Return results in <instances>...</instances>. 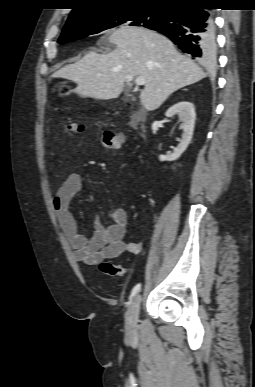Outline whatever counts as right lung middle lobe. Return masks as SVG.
<instances>
[{
    "label": "right lung middle lobe",
    "mask_w": 255,
    "mask_h": 387,
    "mask_svg": "<svg viewBox=\"0 0 255 387\" xmlns=\"http://www.w3.org/2000/svg\"><path fill=\"white\" fill-rule=\"evenodd\" d=\"M166 7L121 6L87 15L66 23L58 43L64 44L117 26L155 28L166 19Z\"/></svg>",
    "instance_id": "obj_1"
}]
</instances>
